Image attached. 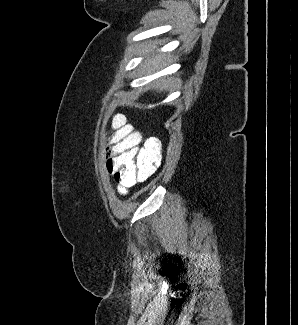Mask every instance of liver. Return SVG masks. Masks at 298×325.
<instances>
[{"mask_svg":"<svg viewBox=\"0 0 298 325\" xmlns=\"http://www.w3.org/2000/svg\"><path fill=\"white\" fill-rule=\"evenodd\" d=\"M162 58H165V54L163 52V54H156V56H150V58H147L148 62V66H151V64H156V66H158V64H160Z\"/></svg>","mask_w":298,"mask_h":325,"instance_id":"obj_1","label":"liver"}]
</instances>
